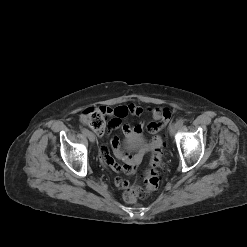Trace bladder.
I'll use <instances>...</instances> for the list:
<instances>
[{"label": "bladder", "instance_id": "bladder-1", "mask_svg": "<svg viewBox=\"0 0 247 247\" xmlns=\"http://www.w3.org/2000/svg\"><path fill=\"white\" fill-rule=\"evenodd\" d=\"M135 143H136V139L133 138V139L129 140V144L133 145Z\"/></svg>", "mask_w": 247, "mask_h": 247}]
</instances>
